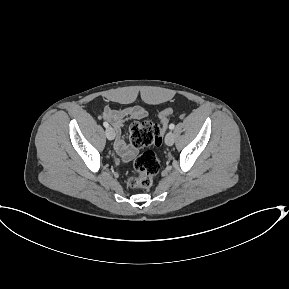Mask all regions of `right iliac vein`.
<instances>
[{
    "label": "right iliac vein",
    "mask_w": 289,
    "mask_h": 289,
    "mask_svg": "<svg viewBox=\"0 0 289 289\" xmlns=\"http://www.w3.org/2000/svg\"><path fill=\"white\" fill-rule=\"evenodd\" d=\"M105 134L109 140H113L115 138V131L112 127H108L105 131Z\"/></svg>",
    "instance_id": "63e3f726"
}]
</instances>
